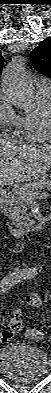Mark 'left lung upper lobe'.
I'll return each instance as SVG.
<instances>
[{
  "mask_svg": "<svg viewBox=\"0 0 51 393\" xmlns=\"http://www.w3.org/2000/svg\"><path fill=\"white\" fill-rule=\"evenodd\" d=\"M31 62L38 72L51 78V37L32 50Z\"/></svg>",
  "mask_w": 51,
  "mask_h": 393,
  "instance_id": "5c2ea615",
  "label": "left lung upper lobe"
}]
</instances>
